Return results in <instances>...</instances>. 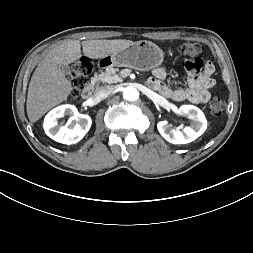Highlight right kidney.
<instances>
[{
	"label": "right kidney",
	"mask_w": 253,
	"mask_h": 253,
	"mask_svg": "<svg viewBox=\"0 0 253 253\" xmlns=\"http://www.w3.org/2000/svg\"><path fill=\"white\" fill-rule=\"evenodd\" d=\"M69 116L65 125L58 120ZM92 124L91 117L79 114L74 105H61L51 110L45 117L43 127L45 133L53 140L63 144L79 142L89 131Z\"/></svg>",
	"instance_id": "ca27d5eb"
}]
</instances>
